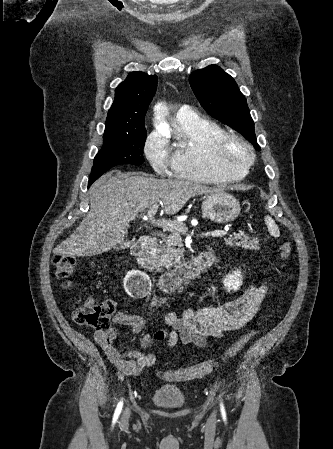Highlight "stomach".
Instances as JSON below:
<instances>
[{
	"label": "stomach",
	"mask_w": 333,
	"mask_h": 449,
	"mask_svg": "<svg viewBox=\"0 0 333 449\" xmlns=\"http://www.w3.org/2000/svg\"><path fill=\"white\" fill-rule=\"evenodd\" d=\"M239 201L222 190L210 193L202 203V214L218 223H229L240 214Z\"/></svg>",
	"instance_id": "obj_1"
}]
</instances>
